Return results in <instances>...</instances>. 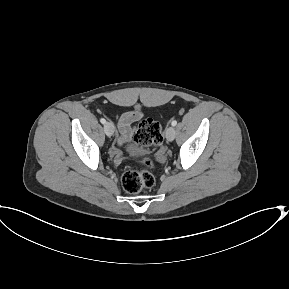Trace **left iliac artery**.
I'll return each instance as SVG.
<instances>
[{"mask_svg": "<svg viewBox=\"0 0 289 289\" xmlns=\"http://www.w3.org/2000/svg\"><path fill=\"white\" fill-rule=\"evenodd\" d=\"M171 125H172V126H176V125H177V121H176V120H173V121L171 122Z\"/></svg>", "mask_w": 289, "mask_h": 289, "instance_id": "1", "label": "left iliac artery"}]
</instances>
